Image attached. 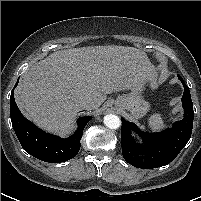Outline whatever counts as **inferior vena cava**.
Wrapping results in <instances>:
<instances>
[{
    "label": "inferior vena cava",
    "mask_w": 201,
    "mask_h": 201,
    "mask_svg": "<svg viewBox=\"0 0 201 201\" xmlns=\"http://www.w3.org/2000/svg\"><path fill=\"white\" fill-rule=\"evenodd\" d=\"M77 106L80 110H91L94 108V103L91 101H81Z\"/></svg>",
    "instance_id": "1"
}]
</instances>
